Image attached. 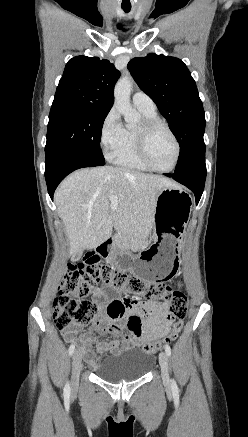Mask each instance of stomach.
I'll return each mask as SVG.
<instances>
[{"instance_id":"obj_1","label":"stomach","mask_w":248,"mask_h":437,"mask_svg":"<svg viewBox=\"0 0 248 437\" xmlns=\"http://www.w3.org/2000/svg\"><path fill=\"white\" fill-rule=\"evenodd\" d=\"M190 211L191 199L186 192L177 186L163 187L153 214V244L147 250H138L137 256L119 250L115 272L135 273V279H144V286H166L179 269Z\"/></svg>"}]
</instances>
